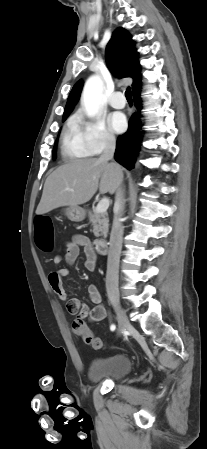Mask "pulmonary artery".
<instances>
[{"mask_svg":"<svg viewBox=\"0 0 207 449\" xmlns=\"http://www.w3.org/2000/svg\"><path fill=\"white\" fill-rule=\"evenodd\" d=\"M125 97L120 91H116L109 99V104L116 109H121L125 106Z\"/></svg>","mask_w":207,"mask_h":449,"instance_id":"1","label":"pulmonary artery"}]
</instances>
